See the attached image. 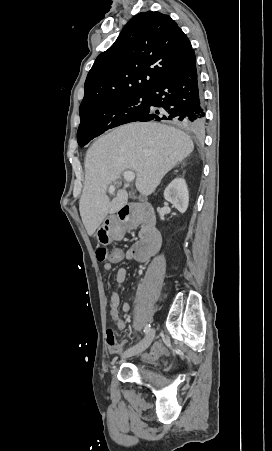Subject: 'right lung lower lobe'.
<instances>
[{"label":"right lung lower lobe","mask_w":272,"mask_h":451,"mask_svg":"<svg viewBox=\"0 0 272 451\" xmlns=\"http://www.w3.org/2000/svg\"><path fill=\"white\" fill-rule=\"evenodd\" d=\"M148 95L150 107L136 121H173L191 132L205 126L194 51L174 66ZM154 107L163 110L155 111Z\"/></svg>","instance_id":"98d812e1"}]
</instances>
